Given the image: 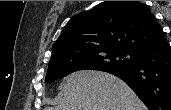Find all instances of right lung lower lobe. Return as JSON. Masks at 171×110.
<instances>
[{
    "label": "right lung lower lobe",
    "mask_w": 171,
    "mask_h": 110,
    "mask_svg": "<svg viewBox=\"0 0 171 110\" xmlns=\"http://www.w3.org/2000/svg\"><path fill=\"white\" fill-rule=\"evenodd\" d=\"M107 72L125 81L149 110H171V48L166 39L136 52L133 65Z\"/></svg>",
    "instance_id": "1"
}]
</instances>
